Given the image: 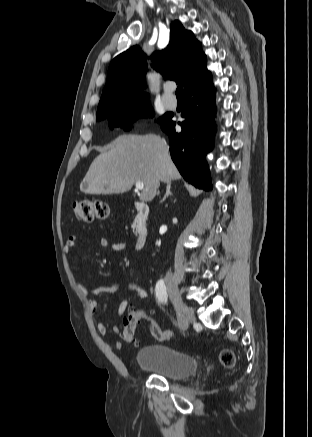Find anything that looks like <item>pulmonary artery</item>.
Listing matches in <instances>:
<instances>
[{"label": "pulmonary artery", "mask_w": 312, "mask_h": 437, "mask_svg": "<svg viewBox=\"0 0 312 437\" xmlns=\"http://www.w3.org/2000/svg\"><path fill=\"white\" fill-rule=\"evenodd\" d=\"M162 101L166 108L168 109H175L177 105V100L175 96L171 94V88L170 85L167 84L162 93Z\"/></svg>", "instance_id": "1"}]
</instances>
